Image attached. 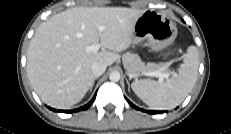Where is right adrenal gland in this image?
Masks as SVG:
<instances>
[{
    "instance_id": "right-adrenal-gland-1",
    "label": "right adrenal gland",
    "mask_w": 231,
    "mask_h": 134,
    "mask_svg": "<svg viewBox=\"0 0 231 134\" xmlns=\"http://www.w3.org/2000/svg\"><path fill=\"white\" fill-rule=\"evenodd\" d=\"M98 79V77H95L94 78V80H93V83H92V86H91V88H90V91L92 90V88H93V86H94V83H95V81Z\"/></svg>"
}]
</instances>
